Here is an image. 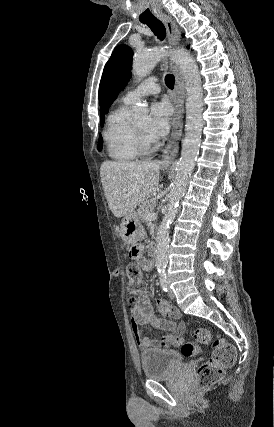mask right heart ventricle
<instances>
[{"instance_id":"right-heart-ventricle-1","label":"right heart ventricle","mask_w":274,"mask_h":427,"mask_svg":"<svg viewBox=\"0 0 274 427\" xmlns=\"http://www.w3.org/2000/svg\"><path fill=\"white\" fill-rule=\"evenodd\" d=\"M128 114V106H118L111 115L110 126L104 134L108 157L122 163L133 162L139 158L133 142V122Z\"/></svg>"}]
</instances>
